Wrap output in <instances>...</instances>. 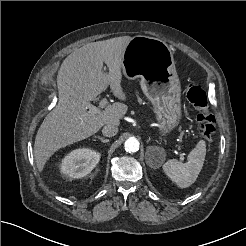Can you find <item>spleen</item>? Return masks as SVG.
I'll use <instances>...</instances> for the list:
<instances>
[{
    "mask_svg": "<svg viewBox=\"0 0 246 246\" xmlns=\"http://www.w3.org/2000/svg\"><path fill=\"white\" fill-rule=\"evenodd\" d=\"M206 156V143L200 140L190 152L188 161L182 163L176 159L168 160L162 168L166 175L174 181L178 187L187 188L195 183L203 168Z\"/></svg>",
    "mask_w": 246,
    "mask_h": 246,
    "instance_id": "3e777b00",
    "label": "spleen"
}]
</instances>
